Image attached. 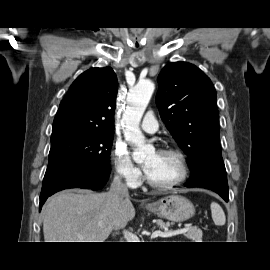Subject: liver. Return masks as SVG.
Returning a JSON list of instances; mask_svg holds the SVG:
<instances>
[{"instance_id":"6515ba94","label":"liver","mask_w":270,"mask_h":270,"mask_svg":"<svg viewBox=\"0 0 270 270\" xmlns=\"http://www.w3.org/2000/svg\"><path fill=\"white\" fill-rule=\"evenodd\" d=\"M135 217L128 197L113 193L62 191L44 206L45 242H105L113 229L124 227Z\"/></svg>"}]
</instances>
